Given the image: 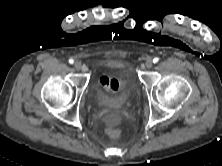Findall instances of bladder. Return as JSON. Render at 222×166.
<instances>
[{"label":"bladder","instance_id":"bladder-1","mask_svg":"<svg viewBox=\"0 0 222 166\" xmlns=\"http://www.w3.org/2000/svg\"><path fill=\"white\" fill-rule=\"evenodd\" d=\"M134 90L135 86L133 84H128L125 90L117 96L109 97L97 89L95 100L99 106L104 108H122L130 103Z\"/></svg>","mask_w":222,"mask_h":166}]
</instances>
